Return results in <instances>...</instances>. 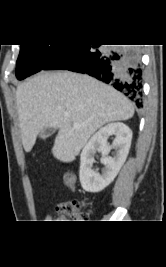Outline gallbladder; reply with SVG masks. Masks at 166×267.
Returning <instances> with one entry per match:
<instances>
[{
	"mask_svg": "<svg viewBox=\"0 0 166 267\" xmlns=\"http://www.w3.org/2000/svg\"><path fill=\"white\" fill-rule=\"evenodd\" d=\"M54 132H55V129L54 128L47 127V128H45V129L42 130V132L40 134V138L44 140L47 137L51 136Z\"/></svg>",
	"mask_w": 166,
	"mask_h": 267,
	"instance_id": "bac80fb5",
	"label": "gallbladder"
}]
</instances>
